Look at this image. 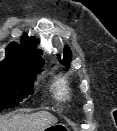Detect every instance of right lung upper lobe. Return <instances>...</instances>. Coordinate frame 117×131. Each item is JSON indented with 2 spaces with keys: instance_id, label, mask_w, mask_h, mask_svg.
Here are the masks:
<instances>
[{
  "instance_id": "cb5924a9",
  "label": "right lung upper lobe",
  "mask_w": 117,
  "mask_h": 131,
  "mask_svg": "<svg viewBox=\"0 0 117 131\" xmlns=\"http://www.w3.org/2000/svg\"><path fill=\"white\" fill-rule=\"evenodd\" d=\"M21 45L16 42L10 43L6 48V58L0 61V69L20 67L28 74L36 75L44 64L40 57L41 51L35 49L37 41L26 34L21 37Z\"/></svg>"
}]
</instances>
